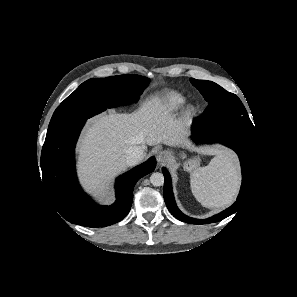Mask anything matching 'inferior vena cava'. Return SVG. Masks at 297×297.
<instances>
[{"label": "inferior vena cava", "instance_id": "inferior-vena-cava-1", "mask_svg": "<svg viewBox=\"0 0 297 297\" xmlns=\"http://www.w3.org/2000/svg\"><path fill=\"white\" fill-rule=\"evenodd\" d=\"M143 149L142 147H133L129 149L127 156H126V165L133 166L137 164L143 158Z\"/></svg>", "mask_w": 297, "mask_h": 297}]
</instances>
